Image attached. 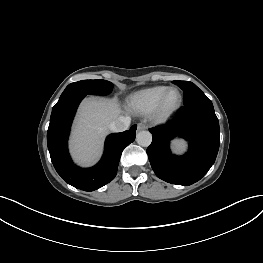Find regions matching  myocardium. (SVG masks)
Returning <instances> with one entry per match:
<instances>
[{
    "label": "myocardium",
    "instance_id": "1",
    "mask_svg": "<svg viewBox=\"0 0 263 263\" xmlns=\"http://www.w3.org/2000/svg\"><path fill=\"white\" fill-rule=\"evenodd\" d=\"M172 92H176L179 96L178 102L172 106H167V99ZM183 104V94L177 88L171 87L166 90L161 99L159 100L157 106L153 111V118L156 122L162 123L171 118L182 106Z\"/></svg>",
    "mask_w": 263,
    "mask_h": 263
}]
</instances>
